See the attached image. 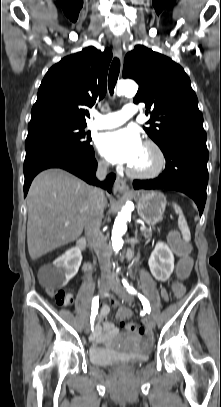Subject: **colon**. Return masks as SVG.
<instances>
[{
	"instance_id": "1",
	"label": "colon",
	"mask_w": 221,
	"mask_h": 407,
	"mask_svg": "<svg viewBox=\"0 0 221 407\" xmlns=\"http://www.w3.org/2000/svg\"><path fill=\"white\" fill-rule=\"evenodd\" d=\"M169 242L174 249V251L181 256V260L178 265H176L175 271L179 282L171 285L170 291L172 294V299L174 301H181L183 299V294H186L188 289L187 282L185 279H189L193 268L192 264L195 263V256L188 255L189 251L192 249V244L190 242H184L178 233H172L169 236ZM59 305H68L72 302V297L70 293L66 291H47ZM117 312L119 320L123 322V327L128 330H133V335H141L143 333L142 326H138V322L133 320V314L131 312V307L128 305H119L117 307Z\"/></svg>"
}]
</instances>
